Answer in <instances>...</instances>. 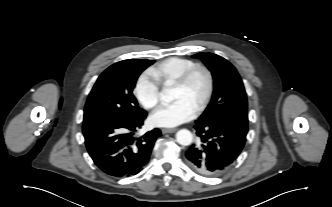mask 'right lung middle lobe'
I'll return each instance as SVG.
<instances>
[{
	"label": "right lung middle lobe",
	"instance_id": "obj_1",
	"mask_svg": "<svg viewBox=\"0 0 332 207\" xmlns=\"http://www.w3.org/2000/svg\"><path fill=\"white\" fill-rule=\"evenodd\" d=\"M153 63L152 60L129 59L107 68L88 96L83 125L100 120L126 122L144 114L137 106L133 89L141 72Z\"/></svg>",
	"mask_w": 332,
	"mask_h": 207
}]
</instances>
